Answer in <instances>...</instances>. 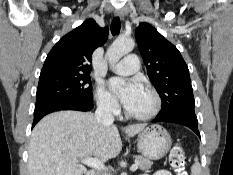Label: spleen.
Masks as SVG:
<instances>
[{
	"label": "spleen",
	"instance_id": "1",
	"mask_svg": "<svg viewBox=\"0 0 233 175\" xmlns=\"http://www.w3.org/2000/svg\"><path fill=\"white\" fill-rule=\"evenodd\" d=\"M194 161L195 163L191 167V173L192 175H201V166L200 163L198 162V158L196 157Z\"/></svg>",
	"mask_w": 233,
	"mask_h": 175
}]
</instances>
